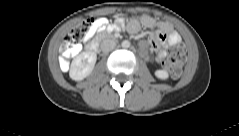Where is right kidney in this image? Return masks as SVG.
<instances>
[{"label":"right kidney","instance_id":"1","mask_svg":"<svg viewBox=\"0 0 239 136\" xmlns=\"http://www.w3.org/2000/svg\"><path fill=\"white\" fill-rule=\"evenodd\" d=\"M97 55L94 52H82L76 56L70 67V78L75 81H81L86 78L94 69Z\"/></svg>","mask_w":239,"mask_h":136}]
</instances>
